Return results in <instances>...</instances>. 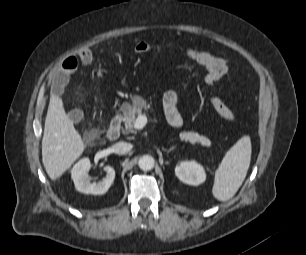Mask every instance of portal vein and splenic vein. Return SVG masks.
<instances>
[{
    "label": "portal vein and splenic vein",
    "mask_w": 306,
    "mask_h": 255,
    "mask_svg": "<svg viewBox=\"0 0 306 255\" xmlns=\"http://www.w3.org/2000/svg\"><path fill=\"white\" fill-rule=\"evenodd\" d=\"M147 123V117L145 115H139L135 122H134V128L135 129H142ZM202 140L204 142L208 141L206 138L202 137Z\"/></svg>",
    "instance_id": "portal-vein-and-splenic-vein-1"
}]
</instances>
